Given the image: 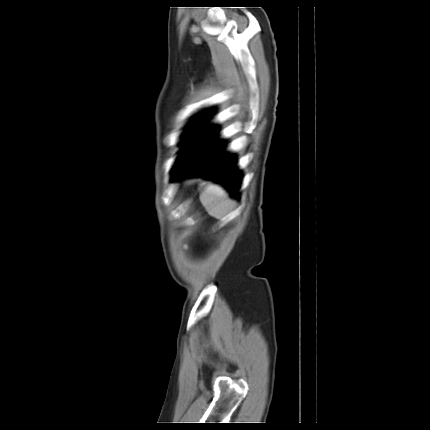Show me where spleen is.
<instances>
[{"mask_svg":"<svg viewBox=\"0 0 430 430\" xmlns=\"http://www.w3.org/2000/svg\"><path fill=\"white\" fill-rule=\"evenodd\" d=\"M200 201L209 215L221 219L232 211L231 200L220 188L207 185L200 193Z\"/></svg>","mask_w":430,"mask_h":430,"instance_id":"spleen-1","label":"spleen"}]
</instances>
